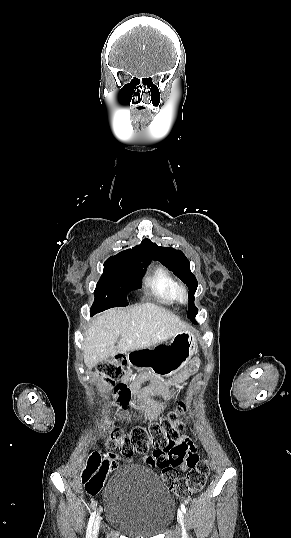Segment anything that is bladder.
<instances>
[{"mask_svg":"<svg viewBox=\"0 0 291 538\" xmlns=\"http://www.w3.org/2000/svg\"><path fill=\"white\" fill-rule=\"evenodd\" d=\"M107 523L131 538H153L172 522L174 500L149 469L135 464L119 468L104 491Z\"/></svg>","mask_w":291,"mask_h":538,"instance_id":"bladder-1","label":"bladder"}]
</instances>
